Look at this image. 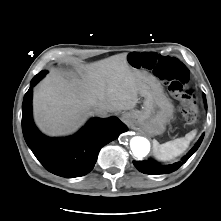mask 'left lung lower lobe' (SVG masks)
Returning <instances> with one entry per match:
<instances>
[{
    "label": "left lung lower lobe",
    "mask_w": 221,
    "mask_h": 221,
    "mask_svg": "<svg viewBox=\"0 0 221 221\" xmlns=\"http://www.w3.org/2000/svg\"><path fill=\"white\" fill-rule=\"evenodd\" d=\"M204 100L206 101L205 96H204ZM203 137H204V134L202 135V137H200V139L198 140L196 145L190 150V152L184 158H182L181 161L176 162L174 164L161 165V164H158L157 162H155L154 160H151V159L150 160H144V161H133V164L139 171H141L142 173H145V174L171 173V172L177 170L179 167H181L191 157V155L200 146V144L203 140Z\"/></svg>",
    "instance_id": "0a47b994"
}]
</instances>
